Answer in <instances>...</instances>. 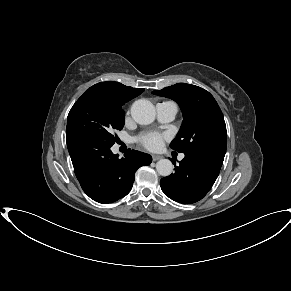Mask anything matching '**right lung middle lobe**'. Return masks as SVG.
Segmentation results:
<instances>
[{"mask_svg": "<svg viewBox=\"0 0 291 291\" xmlns=\"http://www.w3.org/2000/svg\"><path fill=\"white\" fill-rule=\"evenodd\" d=\"M122 105L106 96L85 92L68 114L66 136L91 137L112 146L117 140L114 130L124 126Z\"/></svg>", "mask_w": 291, "mask_h": 291, "instance_id": "right-lung-middle-lobe-1", "label": "right lung middle lobe"}]
</instances>
